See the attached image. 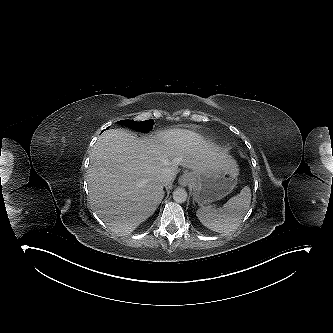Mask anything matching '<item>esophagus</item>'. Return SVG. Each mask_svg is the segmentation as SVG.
Returning a JSON list of instances; mask_svg holds the SVG:
<instances>
[{"instance_id":"1","label":"esophagus","mask_w":333,"mask_h":333,"mask_svg":"<svg viewBox=\"0 0 333 333\" xmlns=\"http://www.w3.org/2000/svg\"><path fill=\"white\" fill-rule=\"evenodd\" d=\"M190 181V176L188 174H184L179 178V184L182 186H186Z\"/></svg>"}]
</instances>
